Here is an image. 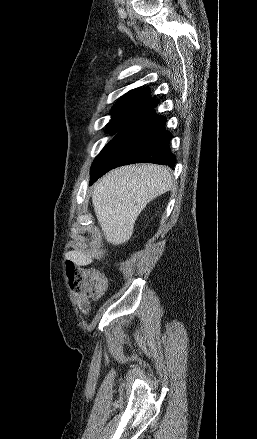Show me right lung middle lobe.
I'll use <instances>...</instances> for the list:
<instances>
[{
	"instance_id": "dd1d6c3e",
	"label": "right lung middle lobe",
	"mask_w": 257,
	"mask_h": 439,
	"mask_svg": "<svg viewBox=\"0 0 257 439\" xmlns=\"http://www.w3.org/2000/svg\"><path fill=\"white\" fill-rule=\"evenodd\" d=\"M127 121L121 119H112L107 127V132L115 134Z\"/></svg>"
}]
</instances>
